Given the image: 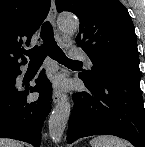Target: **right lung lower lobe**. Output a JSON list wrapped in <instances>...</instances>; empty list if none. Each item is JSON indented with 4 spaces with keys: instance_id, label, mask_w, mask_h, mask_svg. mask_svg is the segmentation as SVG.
Here are the masks:
<instances>
[{
    "instance_id": "1",
    "label": "right lung lower lobe",
    "mask_w": 145,
    "mask_h": 147,
    "mask_svg": "<svg viewBox=\"0 0 145 147\" xmlns=\"http://www.w3.org/2000/svg\"><path fill=\"white\" fill-rule=\"evenodd\" d=\"M18 69L0 74V138L22 140L40 147L41 129L50 112L51 84L42 71L35 87L18 88ZM30 92H39L37 101H27Z\"/></svg>"
}]
</instances>
